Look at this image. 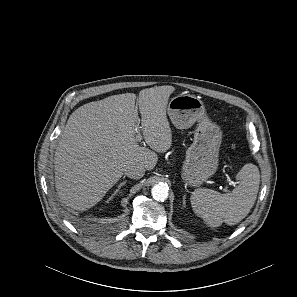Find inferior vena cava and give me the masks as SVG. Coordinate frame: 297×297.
Wrapping results in <instances>:
<instances>
[{"mask_svg": "<svg viewBox=\"0 0 297 297\" xmlns=\"http://www.w3.org/2000/svg\"><path fill=\"white\" fill-rule=\"evenodd\" d=\"M145 174V168L141 165H129L125 168V175L131 179H139Z\"/></svg>", "mask_w": 297, "mask_h": 297, "instance_id": "obj_1", "label": "inferior vena cava"}]
</instances>
